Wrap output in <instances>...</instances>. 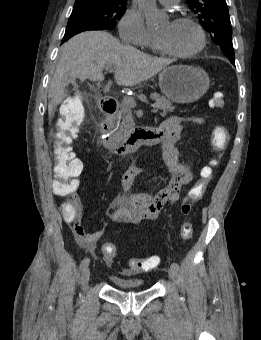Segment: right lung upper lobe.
I'll return each mask as SVG.
<instances>
[{"label":"right lung upper lobe","mask_w":261,"mask_h":340,"mask_svg":"<svg viewBox=\"0 0 261 340\" xmlns=\"http://www.w3.org/2000/svg\"><path fill=\"white\" fill-rule=\"evenodd\" d=\"M88 1L109 2V3H126L125 0H76L75 3H79V2H88Z\"/></svg>","instance_id":"obj_1"}]
</instances>
